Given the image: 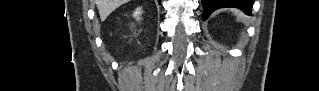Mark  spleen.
Returning a JSON list of instances; mask_svg holds the SVG:
<instances>
[{"label": "spleen", "mask_w": 319, "mask_h": 91, "mask_svg": "<svg viewBox=\"0 0 319 91\" xmlns=\"http://www.w3.org/2000/svg\"><path fill=\"white\" fill-rule=\"evenodd\" d=\"M238 16H240V18H243V15L241 13H239Z\"/></svg>", "instance_id": "spleen-1"}]
</instances>
